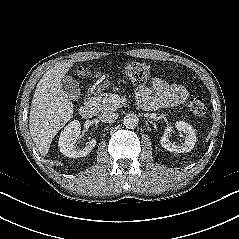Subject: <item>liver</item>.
<instances>
[{"mask_svg":"<svg viewBox=\"0 0 239 239\" xmlns=\"http://www.w3.org/2000/svg\"><path fill=\"white\" fill-rule=\"evenodd\" d=\"M72 66L70 61L50 68L38 82L33 95L29 129L36 148L43 156L47 155L54 136L74 113L73 104L61 87V79Z\"/></svg>","mask_w":239,"mask_h":239,"instance_id":"liver-1","label":"liver"}]
</instances>
